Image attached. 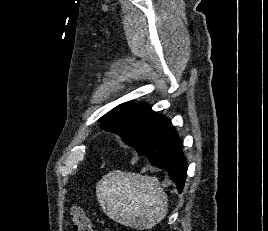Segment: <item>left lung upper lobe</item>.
I'll return each mask as SVG.
<instances>
[{
  "mask_svg": "<svg viewBox=\"0 0 268 231\" xmlns=\"http://www.w3.org/2000/svg\"><path fill=\"white\" fill-rule=\"evenodd\" d=\"M167 118L151 110L146 104H120L105 114L99 121L104 130L122 137L133 146L147 140Z\"/></svg>",
  "mask_w": 268,
  "mask_h": 231,
  "instance_id": "1",
  "label": "left lung upper lobe"
}]
</instances>
